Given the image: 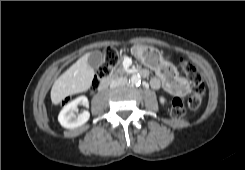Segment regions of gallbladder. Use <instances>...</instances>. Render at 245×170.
I'll use <instances>...</instances> for the list:
<instances>
[{
  "mask_svg": "<svg viewBox=\"0 0 245 170\" xmlns=\"http://www.w3.org/2000/svg\"><path fill=\"white\" fill-rule=\"evenodd\" d=\"M103 60V55L100 51L96 50L90 53L87 63L92 68H97Z\"/></svg>",
  "mask_w": 245,
  "mask_h": 170,
  "instance_id": "1",
  "label": "gallbladder"
}]
</instances>
